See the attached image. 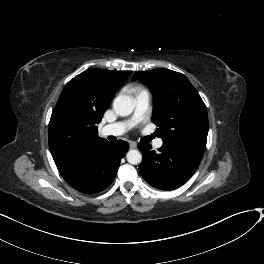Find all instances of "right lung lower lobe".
Listing matches in <instances>:
<instances>
[{
	"label": "right lung lower lobe",
	"mask_w": 264,
	"mask_h": 264,
	"mask_svg": "<svg viewBox=\"0 0 264 264\" xmlns=\"http://www.w3.org/2000/svg\"><path fill=\"white\" fill-rule=\"evenodd\" d=\"M128 149L126 141L119 140L116 143L107 141L60 173L68 184L82 193L101 192L113 182L120 161Z\"/></svg>",
	"instance_id": "right-lung-lower-lobe-1"
}]
</instances>
